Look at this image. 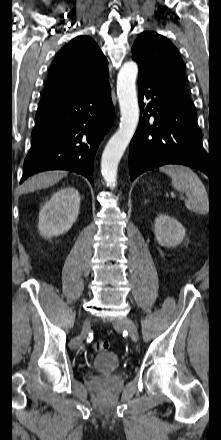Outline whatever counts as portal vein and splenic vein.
I'll use <instances>...</instances> for the list:
<instances>
[{"label":"portal vein and splenic vein","mask_w":221,"mask_h":440,"mask_svg":"<svg viewBox=\"0 0 221 440\" xmlns=\"http://www.w3.org/2000/svg\"><path fill=\"white\" fill-rule=\"evenodd\" d=\"M175 195L173 193H171V197H174Z\"/></svg>","instance_id":"18ae733b"}]
</instances>
